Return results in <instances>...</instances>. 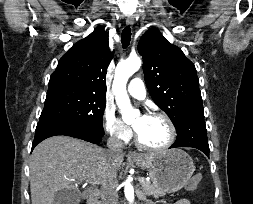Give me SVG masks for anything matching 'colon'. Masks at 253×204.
<instances>
[{
	"mask_svg": "<svg viewBox=\"0 0 253 204\" xmlns=\"http://www.w3.org/2000/svg\"><path fill=\"white\" fill-rule=\"evenodd\" d=\"M203 176L200 173L194 174L189 182V188L195 189L202 181Z\"/></svg>",
	"mask_w": 253,
	"mask_h": 204,
	"instance_id": "colon-1",
	"label": "colon"
}]
</instances>
